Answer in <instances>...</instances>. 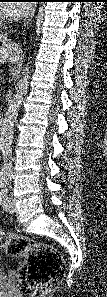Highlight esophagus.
I'll return each mask as SVG.
<instances>
[{"instance_id":"1","label":"esophagus","mask_w":107,"mask_h":297,"mask_svg":"<svg viewBox=\"0 0 107 297\" xmlns=\"http://www.w3.org/2000/svg\"><path fill=\"white\" fill-rule=\"evenodd\" d=\"M36 11V4H33L27 14V16L25 17L24 21H23V27H26L29 25L31 19L33 18L34 14Z\"/></svg>"}]
</instances>
